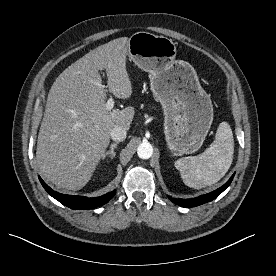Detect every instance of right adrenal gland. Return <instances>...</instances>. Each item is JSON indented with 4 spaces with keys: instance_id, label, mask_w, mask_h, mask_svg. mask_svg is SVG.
Returning <instances> with one entry per match:
<instances>
[{
    "instance_id": "2a0ac1e0",
    "label": "right adrenal gland",
    "mask_w": 276,
    "mask_h": 276,
    "mask_svg": "<svg viewBox=\"0 0 276 276\" xmlns=\"http://www.w3.org/2000/svg\"><path fill=\"white\" fill-rule=\"evenodd\" d=\"M118 142L113 143L110 145V149L103 155L102 160L104 161L107 157H110L111 159H113L115 157V152L114 149L117 147Z\"/></svg>"
}]
</instances>
